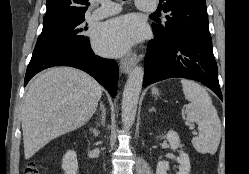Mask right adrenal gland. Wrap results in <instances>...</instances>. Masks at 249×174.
Instances as JSON below:
<instances>
[{"label":"right adrenal gland","mask_w":249,"mask_h":174,"mask_svg":"<svg viewBox=\"0 0 249 174\" xmlns=\"http://www.w3.org/2000/svg\"><path fill=\"white\" fill-rule=\"evenodd\" d=\"M100 110H101V124L102 126L105 125V115H106V110L102 102H100ZM90 131L93 133V136H97L99 134L98 129L96 128H91Z\"/></svg>","instance_id":"obj_1"}]
</instances>
